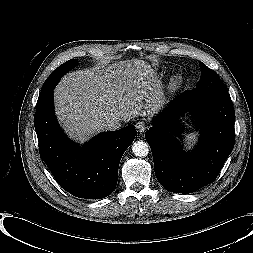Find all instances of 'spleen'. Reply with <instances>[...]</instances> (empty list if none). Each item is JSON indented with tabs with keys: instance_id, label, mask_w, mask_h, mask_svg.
<instances>
[{
	"instance_id": "obj_1",
	"label": "spleen",
	"mask_w": 253,
	"mask_h": 253,
	"mask_svg": "<svg viewBox=\"0 0 253 253\" xmlns=\"http://www.w3.org/2000/svg\"><path fill=\"white\" fill-rule=\"evenodd\" d=\"M197 137H198V133H196V134L192 133V134L187 135V140H188L187 145H188V148H190L193 145V143L196 142Z\"/></svg>"
}]
</instances>
